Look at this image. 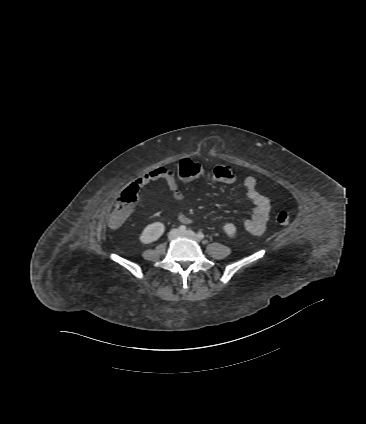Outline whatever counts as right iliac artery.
I'll use <instances>...</instances> for the list:
<instances>
[{
  "label": "right iliac artery",
  "mask_w": 366,
  "mask_h": 424,
  "mask_svg": "<svg viewBox=\"0 0 366 424\" xmlns=\"http://www.w3.org/2000/svg\"><path fill=\"white\" fill-rule=\"evenodd\" d=\"M179 231H181V232H185L186 231V226H184V225H181V226H179Z\"/></svg>",
  "instance_id": "right-iliac-artery-1"
}]
</instances>
